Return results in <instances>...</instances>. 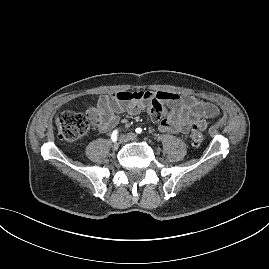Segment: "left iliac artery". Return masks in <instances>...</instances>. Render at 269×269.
Instances as JSON below:
<instances>
[{
    "instance_id": "left-iliac-artery-1",
    "label": "left iliac artery",
    "mask_w": 269,
    "mask_h": 269,
    "mask_svg": "<svg viewBox=\"0 0 269 269\" xmlns=\"http://www.w3.org/2000/svg\"><path fill=\"white\" fill-rule=\"evenodd\" d=\"M135 131H136L137 134H141L142 133V129L141 128H137Z\"/></svg>"
}]
</instances>
